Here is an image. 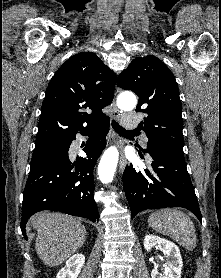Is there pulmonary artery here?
<instances>
[{"label": "pulmonary artery", "mask_w": 221, "mask_h": 278, "mask_svg": "<svg viewBox=\"0 0 221 278\" xmlns=\"http://www.w3.org/2000/svg\"><path fill=\"white\" fill-rule=\"evenodd\" d=\"M121 124L126 129L136 128L138 125V121L135 115L133 114H125L120 118Z\"/></svg>", "instance_id": "obj_1"}]
</instances>
